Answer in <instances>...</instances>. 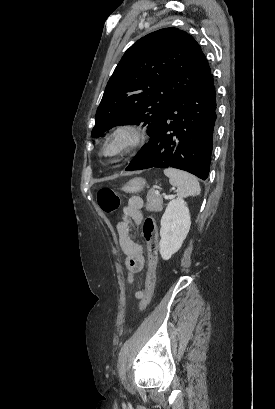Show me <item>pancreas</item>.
<instances>
[{"label":"pancreas","mask_w":275,"mask_h":409,"mask_svg":"<svg viewBox=\"0 0 275 409\" xmlns=\"http://www.w3.org/2000/svg\"><path fill=\"white\" fill-rule=\"evenodd\" d=\"M163 198L161 194H156L154 190H149L147 194V211H162Z\"/></svg>","instance_id":"pancreas-1"}]
</instances>
